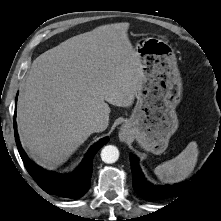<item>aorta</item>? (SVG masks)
Here are the masks:
<instances>
[{
  "label": "aorta",
  "mask_w": 221,
  "mask_h": 221,
  "mask_svg": "<svg viewBox=\"0 0 221 221\" xmlns=\"http://www.w3.org/2000/svg\"><path fill=\"white\" fill-rule=\"evenodd\" d=\"M119 158V151L116 146L107 145L101 151V159L107 164L115 163Z\"/></svg>",
  "instance_id": "aorta-1"
}]
</instances>
